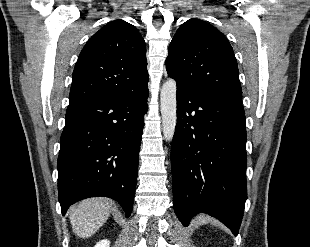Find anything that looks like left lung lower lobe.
<instances>
[{
    "mask_svg": "<svg viewBox=\"0 0 310 247\" xmlns=\"http://www.w3.org/2000/svg\"><path fill=\"white\" fill-rule=\"evenodd\" d=\"M242 104L177 85L173 204L184 226L205 212L238 234L247 199Z\"/></svg>",
    "mask_w": 310,
    "mask_h": 247,
    "instance_id": "0a47b994",
    "label": "left lung lower lobe"
}]
</instances>
